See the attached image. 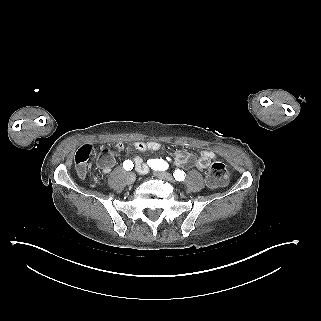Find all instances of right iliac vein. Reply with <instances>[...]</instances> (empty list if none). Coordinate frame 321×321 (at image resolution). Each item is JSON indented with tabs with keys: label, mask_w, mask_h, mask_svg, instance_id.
Listing matches in <instances>:
<instances>
[{
	"label": "right iliac vein",
	"mask_w": 321,
	"mask_h": 321,
	"mask_svg": "<svg viewBox=\"0 0 321 321\" xmlns=\"http://www.w3.org/2000/svg\"><path fill=\"white\" fill-rule=\"evenodd\" d=\"M136 180V175L134 173H128L127 175V184L132 185Z\"/></svg>",
	"instance_id": "1"
}]
</instances>
